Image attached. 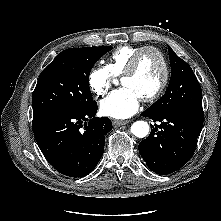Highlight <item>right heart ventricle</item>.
<instances>
[{
	"label": "right heart ventricle",
	"instance_id": "obj_1",
	"mask_svg": "<svg viewBox=\"0 0 221 221\" xmlns=\"http://www.w3.org/2000/svg\"><path fill=\"white\" fill-rule=\"evenodd\" d=\"M146 46H121L117 48L110 56L107 68L113 76H120L126 70L134 54Z\"/></svg>",
	"mask_w": 221,
	"mask_h": 221
}]
</instances>
